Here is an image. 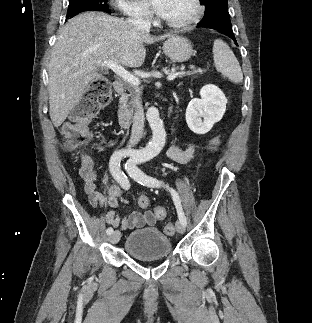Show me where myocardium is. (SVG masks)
I'll list each match as a JSON object with an SVG mask.
<instances>
[{
    "label": "myocardium",
    "mask_w": 312,
    "mask_h": 323,
    "mask_svg": "<svg viewBox=\"0 0 312 323\" xmlns=\"http://www.w3.org/2000/svg\"><path fill=\"white\" fill-rule=\"evenodd\" d=\"M201 0H189L194 6L190 12L189 18H166L163 23L166 25H177V27H184V25H194L195 21H202L205 13L208 11L205 3H200Z\"/></svg>",
    "instance_id": "obj_1"
}]
</instances>
